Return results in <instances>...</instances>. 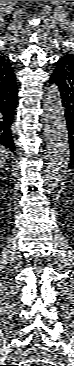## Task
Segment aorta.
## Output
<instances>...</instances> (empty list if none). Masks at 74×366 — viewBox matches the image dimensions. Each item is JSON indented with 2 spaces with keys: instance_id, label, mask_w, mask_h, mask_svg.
Here are the masks:
<instances>
[{
  "instance_id": "762f6f07",
  "label": "aorta",
  "mask_w": 74,
  "mask_h": 366,
  "mask_svg": "<svg viewBox=\"0 0 74 366\" xmlns=\"http://www.w3.org/2000/svg\"><path fill=\"white\" fill-rule=\"evenodd\" d=\"M46 133L45 179L49 189H55L63 180L70 161V145L64 106L56 85L48 87L44 100Z\"/></svg>"
}]
</instances>
